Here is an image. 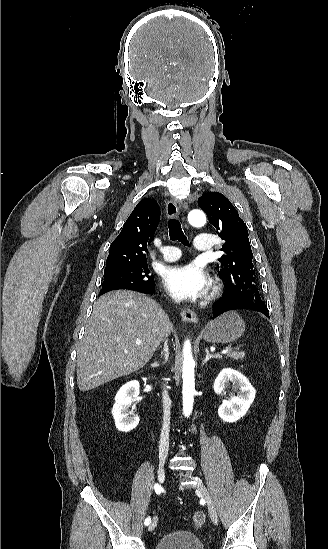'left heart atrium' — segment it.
<instances>
[{
	"instance_id": "1",
	"label": "left heart atrium",
	"mask_w": 328,
	"mask_h": 549,
	"mask_svg": "<svg viewBox=\"0 0 328 549\" xmlns=\"http://www.w3.org/2000/svg\"><path fill=\"white\" fill-rule=\"evenodd\" d=\"M166 290L177 300L205 296L211 279L205 267L197 262L170 268L164 276Z\"/></svg>"
}]
</instances>
